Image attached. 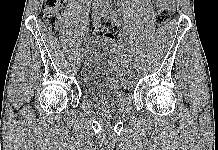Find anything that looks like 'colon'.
I'll return each instance as SVG.
<instances>
[{
    "instance_id": "colon-1",
    "label": "colon",
    "mask_w": 218,
    "mask_h": 150,
    "mask_svg": "<svg viewBox=\"0 0 218 150\" xmlns=\"http://www.w3.org/2000/svg\"><path fill=\"white\" fill-rule=\"evenodd\" d=\"M66 0H46L43 16L44 21L51 32H56L59 28L61 10ZM171 11L167 7H160L156 12V20L160 25L166 24L170 20ZM93 31L96 35L112 41L114 39L113 34L108 31L104 26H95Z\"/></svg>"
}]
</instances>
